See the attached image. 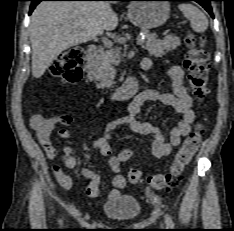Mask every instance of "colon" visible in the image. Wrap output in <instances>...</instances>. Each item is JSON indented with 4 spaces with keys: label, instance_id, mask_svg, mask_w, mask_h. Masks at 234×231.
I'll use <instances>...</instances> for the list:
<instances>
[{
    "label": "colon",
    "instance_id": "obj_1",
    "mask_svg": "<svg viewBox=\"0 0 234 231\" xmlns=\"http://www.w3.org/2000/svg\"><path fill=\"white\" fill-rule=\"evenodd\" d=\"M185 44L187 52L184 67L188 72V80L195 97L202 101L208 93L209 71V56L204 48V38L188 34L185 38ZM83 58L84 52L81 47L68 48L52 64V75L70 84L78 82L82 77L80 66ZM202 134L203 129L201 126L188 134L177 151L168 172L145 177L140 170L133 169L128 175L130 183H146L151 192L169 187L182 174L198 151L202 141ZM132 157L133 152L130 149H124L119 154V159L122 162H128Z\"/></svg>",
    "mask_w": 234,
    "mask_h": 231
}]
</instances>
